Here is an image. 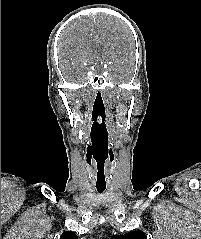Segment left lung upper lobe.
I'll return each instance as SVG.
<instances>
[{
  "label": "left lung upper lobe",
  "mask_w": 201,
  "mask_h": 239,
  "mask_svg": "<svg viewBox=\"0 0 201 239\" xmlns=\"http://www.w3.org/2000/svg\"><path fill=\"white\" fill-rule=\"evenodd\" d=\"M111 239H147V236L142 231H132L124 235H114Z\"/></svg>",
  "instance_id": "obj_1"
}]
</instances>
